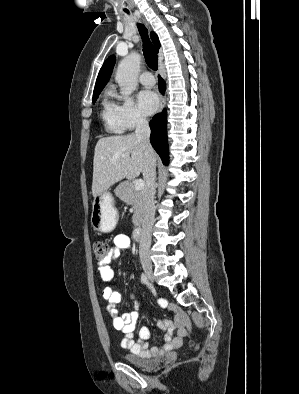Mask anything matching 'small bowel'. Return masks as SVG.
Wrapping results in <instances>:
<instances>
[{"mask_svg":"<svg viewBox=\"0 0 299 394\" xmlns=\"http://www.w3.org/2000/svg\"><path fill=\"white\" fill-rule=\"evenodd\" d=\"M130 246L131 238L128 235L119 234L114 237L113 246L110 249L108 258L98 266L100 277L104 282L113 281L114 271L110 263L117 259L124 250L130 248ZM102 295L107 301V309L112 317L113 327L124 335L121 346L130 350L133 354L140 355L144 358L161 356L180 348L183 340L190 334L191 325L188 317L182 310L176 305L160 300V305L173 314L175 320L173 322L163 321L159 323V328L164 332V343L162 346L150 348L147 343L150 330L147 326L140 329L137 340L134 336L135 324L139 317L138 311L134 310L119 315L116 306L121 301L120 293L112 287L107 286L103 289Z\"/></svg>","mask_w":299,"mask_h":394,"instance_id":"c3829d8e","label":"small bowel"}]
</instances>
